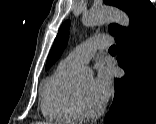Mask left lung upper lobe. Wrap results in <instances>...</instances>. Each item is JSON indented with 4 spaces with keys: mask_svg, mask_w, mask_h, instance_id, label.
I'll return each instance as SVG.
<instances>
[{
    "mask_svg": "<svg viewBox=\"0 0 156 124\" xmlns=\"http://www.w3.org/2000/svg\"><path fill=\"white\" fill-rule=\"evenodd\" d=\"M105 4L116 6L123 11H125L129 18L130 23L133 22L137 12L142 7L145 0H103ZM70 21H65L59 29L58 35L55 38L54 44L50 50L47 58L46 68H50L51 65L60 57L64 48L67 44V39L69 35ZM126 28L121 27L117 24H111L108 28L109 33L113 36L118 35L120 32L124 31Z\"/></svg>",
    "mask_w": 156,
    "mask_h": 124,
    "instance_id": "5c2ea615",
    "label": "left lung upper lobe"
}]
</instances>
